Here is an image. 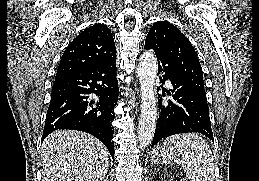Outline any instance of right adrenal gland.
I'll return each mask as SVG.
<instances>
[{
	"instance_id": "1",
	"label": "right adrenal gland",
	"mask_w": 259,
	"mask_h": 181,
	"mask_svg": "<svg viewBox=\"0 0 259 181\" xmlns=\"http://www.w3.org/2000/svg\"><path fill=\"white\" fill-rule=\"evenodd\" d=\"M107 178H108V176H107V177H105V178L103 179V181H107Z\"/></svg>"
}]
</instances>
